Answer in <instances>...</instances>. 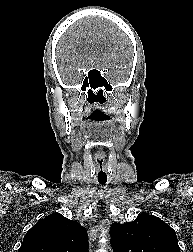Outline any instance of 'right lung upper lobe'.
<instances>
[{
  "label": "right lung upper lobe",
  "instance_id": "cb5924a9",
  "mask_svg": "<svg viewBox=\"0 0 193 252\" xmlns=\"http://www.w3.org/2000/svg\"><path fill=\"white\" fill-rule=\"evenodd\" d=\"M88 247L84 227L53 213L28 230L18 252H88Z\"/></svg>",
  "mask_w": 193,
  "mask_h": 252
}]
</instances>
